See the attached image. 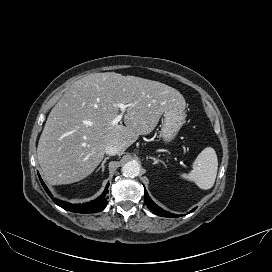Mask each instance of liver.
<instances>
[{
	"label": "liver",
	"mask_w": 272,
	"mask_h": 272,
	"mask_svg": "<svg viewBox=\"0 0 272 272\" xmlns=\"http://www.w3.org/2000/svg\"><path fill=\"white\" fill-rule=\"evenodd\" d=\"M126 109L124 125H111ZM176 89L115 72L93 73L74 82L51 110L39 139L37 156L45 180L70 184L90 175L104 157L105 148L118 147L122 155L139 135L151 133L168 109H185Z\"/></svg>",
	"instance_id": "6515ba94"
}]
</instances>
